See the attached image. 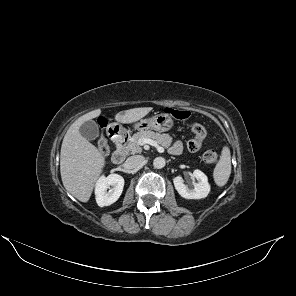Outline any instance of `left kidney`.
Listing matches in <instances>:
<instances>
[{
	"mask_svg": "<svg viewBox=\"0 0 296 296\" xmlns=\"http://www.w3.org/2000/svg\"><path fill=\"white\" fill-rule=\"evenodd\" d=\"M194 178L197 183H193L194 188L189 189L181 176L173 179V183L177 192L185 199H203L206 198L210 192V185L207 176L200 170H194Z\"/></svg>",
	"mask_w": 296,
	"mask_h": 296,
	"instance_id": "5707ae66",
	"label": "left kidney"
}]
</instances>
